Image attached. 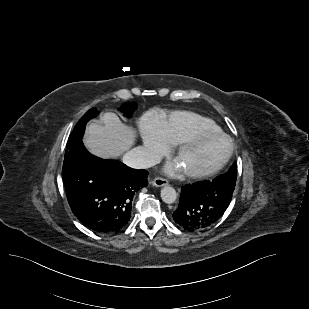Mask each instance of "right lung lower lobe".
<instances>
[{"mask_svg":"<svg viewBox=\"0 0 309 309\" xmlns=\"http://www.w3.org/2000/svg\"><path fill=\"white\" fill-rule=\"evenodd\" d=\"M85 125L74 128L67 142L62 169L67 199L86 227L113 233L130 220L134 194L148 185V172L90 154L82 143Z\"/></svg>","mask_w":309,"mask_h":309,"instance_id":"obj_1","label":"right lung lower lobe"}]
</instances>
